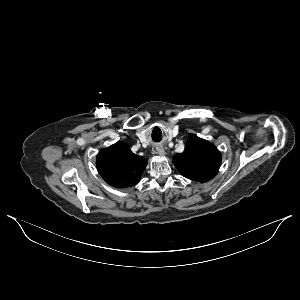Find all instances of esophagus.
I'll return each mask as SVG.
<instances>
[{
    "instance_id": "34e87169",
    "label": "esophagus",
    "mask_w": 300,
    "mask_h": 300,
    "mask_svg": "<svg viewBox=\"0 0 300 300\" xmlns=\"http://www.w3.org/2000/svg\"><path fill=\"white\" fill-rule=\"evenodd\" d=\"M157 154L164 156L166 154L164 147L161 144L156 145L155 147Z\"/></svg>"
}]
</instances>
